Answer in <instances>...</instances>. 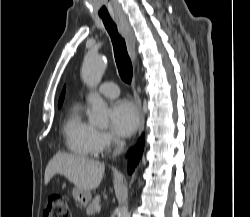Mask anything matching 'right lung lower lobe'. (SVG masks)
<instances>
[{
	"label": "right lung lower lobe",
	"instance_id": "1",
	"mask_svg": "<svg viewBox=\"0 0 250 217\" xmlns=\"http://www.w3.org/2000/svg\"><path fill=\"white\" fill-rule=\"evenodd\" d=\"M144 148V134L139 139L136 147L133 148V150L130 153V161H129V173L131 174L135 168V166L138 164L141 155L143 153Z\"/></svg>",
	"mask_w": 250,
	"mask_h": 217
}]
</instances>
